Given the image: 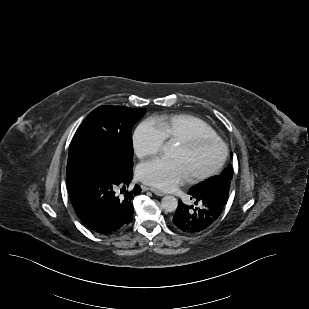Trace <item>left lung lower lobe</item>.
I'll return each instance as SVG.
<instances>
[{
	"mask_svg": "<svg viewBox=\"0 0 309 309\" xmlns=\"http://www.w3.org/2000/svg\"><path fill=\"white\" fill-rule=\"evenodd\" d=\"M194 206L178 202V208L173 217L176 229L187 234H197L211 227L222 214L228 197L208 194L192 187L188 192Z\"/></svg>",
	"mask_w": 309,
	"mask_h": 309,
	"instance_id": "left-lung-lower-lobe-1",
	"label": "left lung lower lobe"
}]
</instances>
